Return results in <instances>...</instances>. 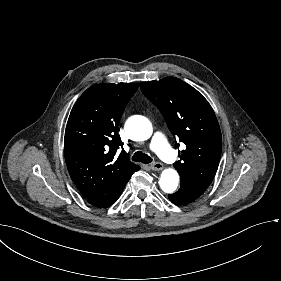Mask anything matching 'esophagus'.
Returning <instances> with one entry per match:
<instances>
[{"mask_svg": "<svg viewBox=\"0 0 281 281\" xmlns=\"http://www.w3.org/2000/svg\"><path fill=\"white\" fill-rule=\"evenodd\" d=\"M150 168L153 170V171H159V170H162L164 168L163 164L160 163V162H156L154 164H152L150 166Z\"/></svg>", "mask_w": 281, "mask_h": 281, "instance_id": "1", "label": "esophagus"}]
</instances>
